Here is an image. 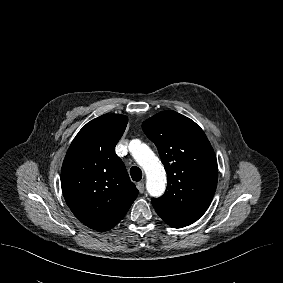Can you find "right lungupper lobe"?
I'll return each instance as SVG.
<instances>
[{
    "instance_id": "cb5924a9",
    "label": "right lung upper lobe",
    "mask_w": 283,
    "mask_h": 283,
    "mask_svg": "<svg viewBox=\"0 0 283 283\" xmlns=\"http://www.w3.org/2000/svg\"><path fill=\"white\" fill-rule=\"evenodd\" d=\"M128 118L104 114L87 123L71 143L61 171L67 205L86 226L107 231L118 224L138 195L114 149Z\"/></svg>"
}]
</instances>
